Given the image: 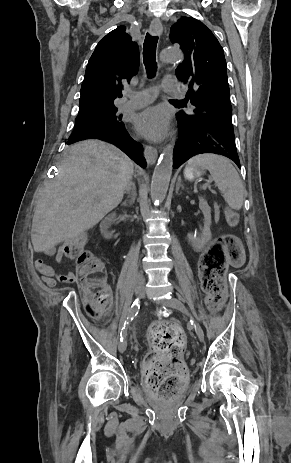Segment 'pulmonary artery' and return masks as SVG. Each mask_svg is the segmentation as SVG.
Segmentation results:
<instances>
[{
  "instance_id": "1",
  "label": "pulmonary artery",
  "mask_w": 291,
  "mask_h": 463,
  "mask_svg": "<svg viewBox=\"0 0 291 463\" xmlns=\"http://www.w3.org/2000/svg\"><path fill=\"white\" fill-rule=\"evenodd\" d=\"M163 88L164 91L177 98H184L185 92L181 89L180 83L174 77L167 76L164 78L163 81ZM157 96V88L156 87H149L142 91L136 93H127V97L129 98L126 102H124L123 107L125 109H137L148 105Z\"/></svg>"
}]
</instances>
